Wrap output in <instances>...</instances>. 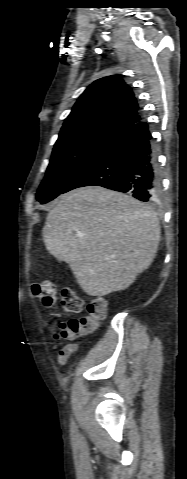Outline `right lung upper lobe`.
I'll use <instances>...</instances> for the list:
<instances>
[{
  "label": "right lung upper lobe",
  "instance_id": "obj_1",
  "mask_svg": "<svg viewBox=\"0 0 187 479\" xmlns=\"http://www.w3.org/2000/svg\"><path fill=\"white\" fill-rule=\"evenodd\" d=\"M140 120L139 106L131 88L122 78L112 75L96 80L84 91L60 133L92 125L125 132Z\"/></svg>",
  "mask_w": 187,
  "mask_h": 479
}]
</instances>
